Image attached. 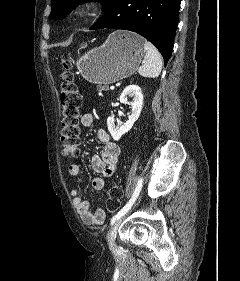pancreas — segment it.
Here are the masks:
<instances>
[{
	"label": "pancreas",
	"instance_id": "cf45deb5",
	"mask_svg": "<svg viewBox=\"0 0 240 281\" xmlns=\"http://www.w3.org/2000/svg\"><path fill=\"white\" fill-rule=\"evenodd\" d=\"M108 90V86H100L98 87V91H107Z\"/></svg>",
	"mask_w": 240,
	"mask_h": 281
}]
</instances>
